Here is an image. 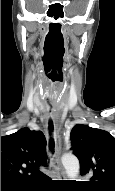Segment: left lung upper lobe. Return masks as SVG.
<instances>
[{
  "label": "left lung upper lobe",
  "mask_w": 115,
  "mask_h": 191,
  "mask_svg": "<svg viewBox=\"0 0 115 191\" xmlns=\"http://www.w3.org/2000/svg\"><path fill=\"white\" fill-rule=\"evenodd\" d=\"M73 153L80 161L82 184L92 190L115 191V138L107 131L78 124L71 131Z\"/></svg>",
  "instance_id": "left-lung-upper-lobe-1"
}]
</instances>
